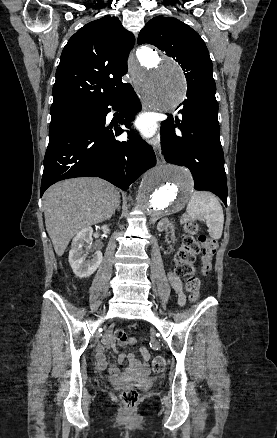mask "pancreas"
Here are the masks:
<instances>
[{"label":"pancreas","mask_w":277,"mask_h":438,"mask_svg":"<svg viewBox=\"0 0 277 438\" xmlns=\"http://www.w3.org/2000/svg\"><path fill=\"white\" fill-rule=\"evenodd\" d=\"M181 221L183 223H190L192 221V216L190 214H183L181 216Z\"/></svg>","instance_id":"obj_1"}]
</instances>
